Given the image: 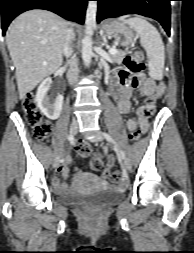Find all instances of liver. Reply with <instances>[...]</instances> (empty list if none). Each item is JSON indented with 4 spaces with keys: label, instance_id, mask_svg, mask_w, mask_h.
<instances>
[{
    "label": "liver",
    "instance_id": "6515ba94",
    "mask_svg": "<svg viewBox=\"0 0 194 253\" xmlns=\"http://www.w3.org/2000/svg\"><path fill=\"white\" fill-rule=\"evenodd\" d=\"M67 26V21L46 10L27 11L10 24L6 43L20 99L61 67Z\"/></svg>",
    "mask_w": 194,
    "mask_h": 253
}]
</instances>
